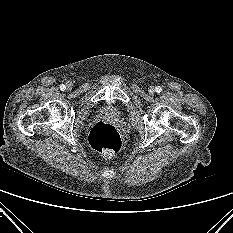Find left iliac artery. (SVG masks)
Returning <instances> with one entry per match:
<instances>
[{"label":"left iliac artery","mask_w":233,"mask_h":233,"mask_svg":"<svg viewBox=\"0 0 233 233\" xmlns=\"http://www.w3.org/2000/svg\"><path fill=\"white\" fill-rule=\"evenodd\" d=\"M156 92L160 93L162 91V88L160 86L155 88Z\"/></svg>","instance_id":"obj_1"}]
</instances>
